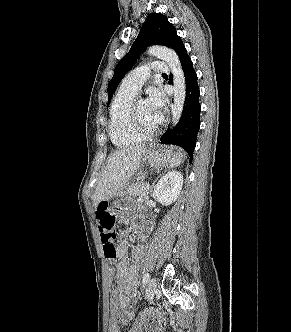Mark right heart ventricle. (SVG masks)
<instances>
[{
	"label": "right heart ventricle",
	"mask_w": 291,
	"mask_h": 332,
	"mask_svg": "<svg viewBox=\"0 0 291 332\" xmlns=\"http://www.w3.org/2000/svg\"><path fill=\"white\" fill-rule=\"evenodd\" d=\"M134 92L120 88L110 107L109 135L112 143L125 147L140 143L144 138L137 135L130 124V107L135 97Z\"/></svg>",
	"instance_id": "1"
}]
</instances>
